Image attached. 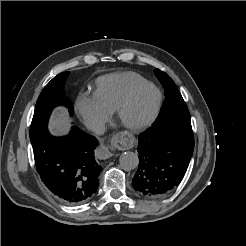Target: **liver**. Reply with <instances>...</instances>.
<instances>
[{
    "instance_id": "1",
    "label": "liver",
    "mask_w": 246,
    "mask_h": 246,
    "mask_svg": "<svg viewBox=\"0 0 246 246\" xmlns=\"http://www.w3.org/2000/svg\"><path fill=\"white\" fill-rule=\"evenodd\" d=\"M68 127L69 123L66 111L63 109H58L50 121L49 129L54 134H61L66 132Z\"/></svg>"
}]
</instances>
